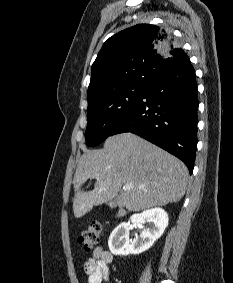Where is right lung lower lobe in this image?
Segmentation results:
<instances>
[{"label": "right lung lower lobe", "instance_id": "98d812e1", "mask_svg": "<svg viewBox=\"0 0 233 283\" xmlns=\"http://www.w3.org/2000/svg\"><path fill=\"white\" fill-rule=\"evenodd\" d=\"M198 105L195 70L186 56L147 86L111 135L137 134L181 159L191 174L196 155Z\"/></svg>", "mask_w": 233, "mask_h": 283}]
</instances>
